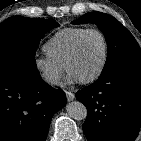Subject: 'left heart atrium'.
I'll use <instances>...</instances> for the list:
<instances>
[{"instance_id": "left-heart-atrium-1", "label": "left heart atrium", "mask_w": 141, "mask_h": 141, "mask_svg": "<svg viewBox=\"0 0 141 141\" xmlns=\"http://www.w3.org/2000/svg\"><path fill=\"white\" fill-rule=\"evenodd\" d=\"M80 79L72 72H69L66 78V83L67 84H74L79 82Z\"/></svg>"}]
</instances>
